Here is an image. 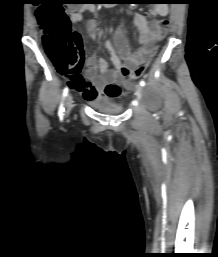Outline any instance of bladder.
Listing matches in <instances>:
<instances>
[{"mask_svg": "<svg viewBox=\"0 0 218 257\" xmlns=\"http://www.w3.org/2000/svg\"><path fill=\"white\" fill-rule=\"evenodd\" d=\"M87 102L92 108L102 113L119 114L123 111V106L109 97H98L95 100H89Z\"/></svg>", "mask_w": 218, "mask_h": 257, "instance_id": "obj_1", "label": "bladder"}]
</instances>
